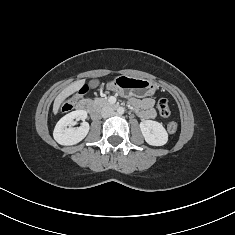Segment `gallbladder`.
<instances>
[{
	"instance_id": "gallbladder-1",
	"label": "gallbladder",
	"mask_w": 235,
	"mask_h": 235,
	"mask_svg": "<svg viewBox=\"0 0 235 235\" xmlns=\"http://www.w3.org/2000/svg\"><path fill=\"white\" fill-rule=\"evenodd\" d=\"M98 85H99V81H98L97 79L91 80V81L89 82L90 88H95V87H97Z\"/></svg>"
}]
</instances>
